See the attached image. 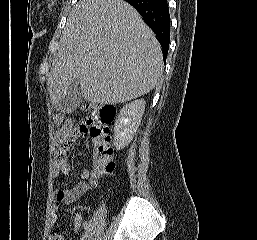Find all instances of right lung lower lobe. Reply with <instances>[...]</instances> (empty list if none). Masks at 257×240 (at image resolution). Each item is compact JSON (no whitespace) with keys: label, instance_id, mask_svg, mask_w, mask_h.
I'll return each mask as SVG.
<instances>
[{"label":"right lung lower lobe","instance_id":"right-lung-lower-lobe-1","mask_svg":"<svg viewBox=\"0 0 257 240\" xmlns=\"http://www.w3.org/2000/svg\"><path fill=\"white\" fill-rule=\"evenodd\" d=\"M143 17L145 23L157 35L166 61L170 42V15L167 0H125Z\"/></svg>","mask_w":257,"mask_h":240}]
</instances>
